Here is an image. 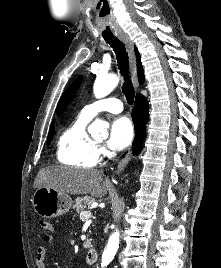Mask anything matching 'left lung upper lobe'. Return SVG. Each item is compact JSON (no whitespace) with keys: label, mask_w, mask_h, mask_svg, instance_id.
Returning a JSON list of instances; mask_svg holds the SVG:
<instances>
[{"label":"left lung upper lobe","mask_w":221,"mask_h":268,"mask_svg":"<svg viewBox=\"0 0 221 268\" xmlns=\"http://www.w3.org/2000/svg\"><path fill=\"white\" fill-rule=\"evenodd\" d=\"M82 79H83L82 76H79L63 93L56 109V112L58 114L62 113L66 109L67 105L72 101L77 89L79 88L82 82Z\"/></svg>","instance_id":"left-lung-upper-lobe-1"}]
</instances>
